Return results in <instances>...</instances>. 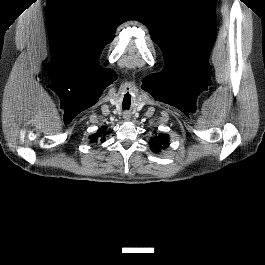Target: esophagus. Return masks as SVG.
Masks as SVG:
<instances>
[{"mask_svg":"<svg viewBox=\"0 0 265 265\" xmlns=\"http://www.w3.org/2000/svg\"><path fill=\"white\" fill-rule=\"evenodd\" d=\"M123 118H124L125 121L130 120V118H131L130 113H129V112H124V114H123Z\"/></svg>","mask_w":265,"mask_h":265,"instance_id":"esophagus-1","label":"esophagus"}]
</instances>
